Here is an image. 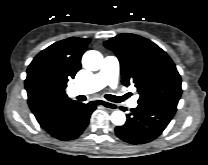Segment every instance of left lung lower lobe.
<instances>
[{
  "instance_id": "0a47b994",
  "label": "left lung lower lobe",
  "mask_w": 208,
  "mask_h": 165,
  "mask_svg": "<svg viewBox=\"0 0 208 165\" xmlns=\"http://www.w3.org/2000/svg\"><path fill=\"white\" fill-rule=\"evenodd\" d=\"M176 110L172 103L139 104L127 114L126 123L115 128L116 135L127 143H148L164 131Z\"/></svg>"
}]
</instances>
